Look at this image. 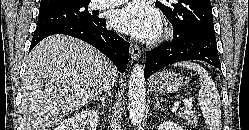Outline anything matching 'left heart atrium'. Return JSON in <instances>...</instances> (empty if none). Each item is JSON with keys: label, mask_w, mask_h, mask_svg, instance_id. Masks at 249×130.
Masks as SVG:
<instances>
[{"label": "left heart atrium", "mask_w": 249, "mask_h": 130, "mask_svg": "<svg viewBox=\"0 0 249 130\" xmlns=\"http://www.w3.org/2000/svg\"><path fill=\"white\" fill-rule=\"evenodd\" d=\"M111 23L115 29L139 39L154 38L161 27L158 13L143 0H135L116 11Z\"/></svg>", "instance_id": "left-heart-atrium-1"}]
</instances>
